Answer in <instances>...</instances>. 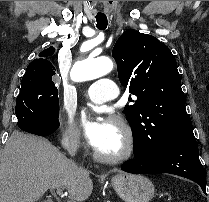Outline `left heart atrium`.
Masks as SVG:
<instances>
[{"instance_id": "1", "label": "left heart atrium", "mask_w": 209, "mask_h": 202, "mask_svg": "<svg viewBox=\"0 0 209 202\" xmlns=\"http://www.w3.org/2000/svg\"><path fill=\"white\" fill-rule=\"evenodd\" d=\"M80 125L88 144L96 148L103 140L107 122L100 117L91 115L89 112H84Z\"/></svg>"}]
</instances>
